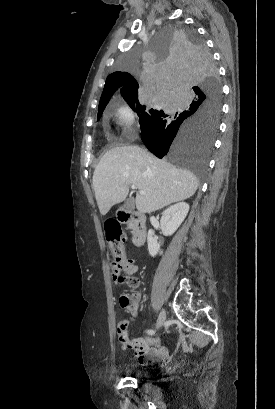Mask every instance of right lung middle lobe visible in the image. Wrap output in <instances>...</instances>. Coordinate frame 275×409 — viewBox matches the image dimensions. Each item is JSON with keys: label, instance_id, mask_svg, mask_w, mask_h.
<instances>
[{"label": "right lung middle lobe", "instance_id": "dd1d6c3e", "mask_svg": "<svg viewBox=\"0 0 275 409\" xmlns=\"http://www.w3.org/2000/svg\"><path fill=\"white\" fill-rule=\"evenodd\" d=\"M147 49L129 50L128 57H118L113 73H139L143 67L135 59L158 58L156 70H148L144 78L147 91L194 92L126 98L139 116L142 141L160 162L186 167L206 182V162L221 115V84L211 52L193 24H166L165 30H154Z\"/></svg>", "mask_w": 275, "mask_h": 409}]
</instances>
